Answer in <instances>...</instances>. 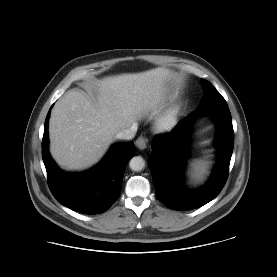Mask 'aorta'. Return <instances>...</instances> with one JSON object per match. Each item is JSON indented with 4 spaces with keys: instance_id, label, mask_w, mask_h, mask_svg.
I'll use <instances>...</instances> for the list:
<instances>
[{
    "instance_id": "1",
    "label": "aorta",
    "mask_w": 277,
    "mask_h": 277,
    "mask_svg": "<svg viewBox=\"0 0 277 277\" xmlns=\"http://www.w3.org/2000/svg\"><path fill=\"white\" fill-rule=\"evenodd\" d=\"M129 167L133 171H141L145 168V160L141 156H135L130 160Z\"/></svg>"
}]
</instances>
